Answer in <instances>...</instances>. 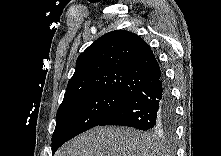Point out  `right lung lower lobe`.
Returning <instances> with one entry per match:
<instances>
[{
    "mask_svg": "<svg viewBox=\"0 0 221 156\" xmlns=\"http://www.w3.org/2000/svg\"><path fill=\"white\" fill-rule=\"evenodd\" d=\"M175 120L173 98L161 75L129 97L99 126L120 125L140 130L172 132Z\"/></svg>",
    "mask_w": 221,
    "mask_h": 156,
    "instance_id": "1",
    "label": "right lung lower lobe"
}]
</instances>
